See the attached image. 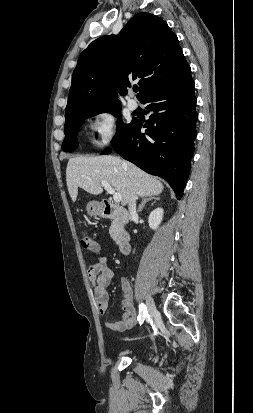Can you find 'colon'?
Returning a JSON list of instances; mask_svg holds the SVG:
<instances>
[{
    "label": "colon",
    "instance_id": "obj_1",
    "mask_svg": "<svg viewBox=\"0 0 253 413\" xmlns=\"http://www.w3.org/2000/svg\"><path fill=\"white\" fill-rule=\"evenodd\" d=\"M81 245L84 249L92 252H97L99 250L98 244L86 233L82 235Z\"/></svg>",
    "mask_w": 253,
    "mask_h": 413
}]
</instances>
